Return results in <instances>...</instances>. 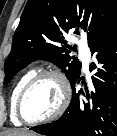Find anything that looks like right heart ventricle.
<instances>
[{
    "label": "right heart ventricle",
    "instance_id": "obj_1",
    "mask_svg": "<svg viewBox=\"0 0 117 136\" xmlns=\"http://www.w3.org/2000/svg\"><path fill=\"white\" fill-rule=\"evenodd\" d=\"M35 71L29 70L25 74H23L15 83L11 97H10V117L12 122L15 125H21V121L17 118L15 110H16V104L19 97V94L22 90V88L25 86V84L34 76Z\"/></svg>",
    "mask_w": 117,
    "mask_h": 136
}]
</instances>
